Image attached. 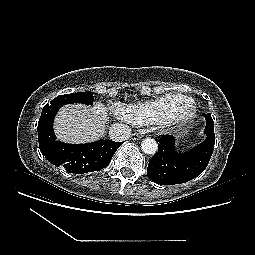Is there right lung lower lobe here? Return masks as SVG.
<instances>
[{
	"label": "right lung lower lobe",
	"instance_id": "1",
	"mask_svg": "<svg viewBox=\"0 0 255 255\" xmlns=\"http://www.w3.org/2000/svg\"><path fill=\"white\" fill-rule=\"evenodd\" d=\"M38 130L42 155L55 166H62L69 173L83 174L108 166L122 142L99 140L87 144H66L56 140L53 124Z\"/></svg>",
	"mask_w": 255,
	"mask_h": 255
}]
</instances>
